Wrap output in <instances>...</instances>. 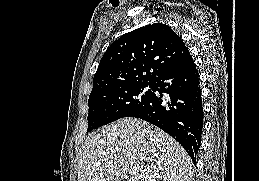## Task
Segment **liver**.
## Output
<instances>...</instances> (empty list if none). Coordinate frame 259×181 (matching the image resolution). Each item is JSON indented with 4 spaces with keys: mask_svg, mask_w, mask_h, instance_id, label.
Segmentation results:
<instances>
[{
    "mask_svg": "<svg viewBox=\"0 0 259 181\" xmlns=\"http://www.w3.org/2000/svg\"><path fill=\"white\" fill-rule=\"evenodd\" d=\"M193 163L184 148L158 127L123 118L85 141L79 150L78 181H191Z\"/></svg>",
    "mask_w": 259,
    "mask_h": 181,
    "instance_id": "liver-1",
    "label": "liver"
}]
</instances>
